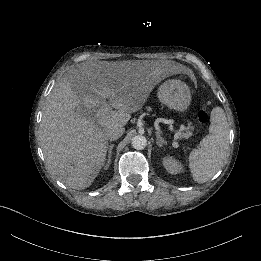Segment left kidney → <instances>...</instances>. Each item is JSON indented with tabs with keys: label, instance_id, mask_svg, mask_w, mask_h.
Masks as SVG:
<instances>
[{
	"label": "left kidney",
	"instance_id": "1",
	"mask_svg": "<svg viewBox=\"0 0 261 261\" xmlns=\"http://www.w3.org/2000/svg\"><path fill=\"white\" fill-rule=\"evenodd\" d=\"M162 163L164 168L170 174L175 175L183 171L182 164L171 156L164 157Z\"/></svg>",
	"mask_w": 261,
	"mask_h": 261
}]
</instances>
